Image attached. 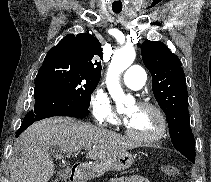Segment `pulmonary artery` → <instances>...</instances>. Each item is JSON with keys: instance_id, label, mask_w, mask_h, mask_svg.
<instances>
[{"instance_id": "pulmonary-artery-1", "label": "pulmonary artery", "mask_w": 211, "mask_h": 182, "mask_svg": "<svg viewBox=\"0 0 211 182\" xmlns=\"http://www.w3.org/2000/svg\"><path fill=\"white\" fill-rule=\"evenodd\" d=\"M145 70L138 65L130 66L123 75L125 85L133 90L143 87L145 82Z\"/></svg>"}]
</instances>
